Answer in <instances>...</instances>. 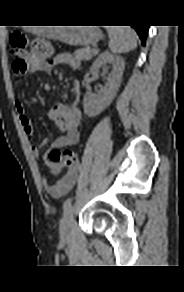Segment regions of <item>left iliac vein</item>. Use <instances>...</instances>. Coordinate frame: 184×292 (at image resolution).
<instances>
[{"label":"left iliac vein","instance_id":"left-iliac-vein-1","mask_svg":"<svg viewBox=\"0 0 184 292\" xmlns=\"http://www.w3.org/2000/svg\"><path fill=\"white\" fill-rule=\"evenodd\" d=\"M74 223V211L73 208L70 207L67 209L63 215V218L60 222V236L61 238L65 239L68 237L72 226Z\"/></svg>","mask_w":184,"mask_h":292}]
</instances>
